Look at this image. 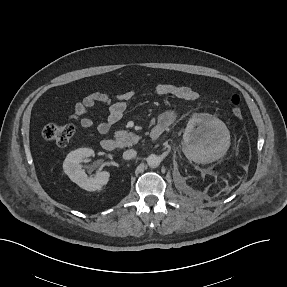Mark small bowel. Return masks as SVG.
Returning <instances> with one entry per match:
<instances>
[{"instance_id":"c3829d8e","label":"small bowel","mask_w":287,"mask_h":287,"mask_svg":"<svg viewBox=\"0 0 287 287\" xmlns=\"http://www.w3.org/2000/svg\"><path fill=\"white\" fill-rule=\"evenodd\" d=\"M154 93L161 96H170L179 100L193 102L199 97L198 92L188 85H177L161 83L154 87ZM134 93L126 91L117 95H108L104 92H93L86 95L81 101L74 105L70 119L76 121L83 128H95L97 132L106 134L111 127L121 120L126 110V105L132 99ZM104 105L108 109L107 118L104 121L95 122L89 112L96 105ZM174 110L162 112L157 120L156 126H163L166 130L176 120Z\"/></svg>"}]
</instances>
